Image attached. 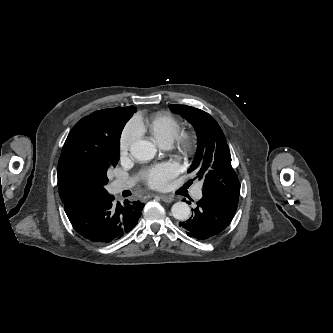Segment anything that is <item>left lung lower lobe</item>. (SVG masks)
I'll return each instance as SVG.
<instances>
[{"label":"left lung lower lobe","instance_id":"left-lung-lower-lobe-1","mask_svg":"<svg viewBox=\"0 0 333 333\" xmlns=\"http://www.w3.org/2000/svg\"><path fill=\"white\" fill-rule=\"evenodd\" d=\"M203 197L193 209L187 221L179 223L189 237L199 240L212 237L223 231L234 217L239 196H220L202 190Z\"/></svg>","mask_w":333,"mask_h":333}]
</instances>
